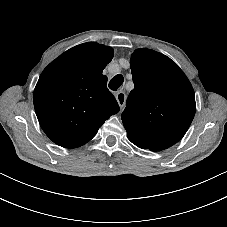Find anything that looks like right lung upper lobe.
Returning a JSON list of instances; mask_svg holds the SVG:
<instances>
[{
  "label": "right lung upper lobe",
  "mask_w": 227,
  "mask_h": 227,
  "mask_svg": "<svg viewBox=\"0 0 227 227\" xmlns=\"http://www.w3.org/2000/svg\"><path fill=\"white\" fill-rule=\"evenodd\" d=\"M113 49L95 42L64 52L42 72L34 90V107L46 135L65 148L90 141L120 108L102 74Z\"/></svg>",
  "instance_id": "obj_1"
}]
</instances>
